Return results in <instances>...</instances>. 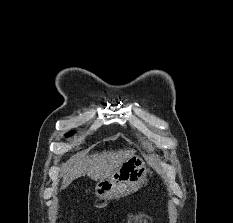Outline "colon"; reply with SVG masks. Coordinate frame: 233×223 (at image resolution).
Here are the masks:
<instances>
[{
	"instance_id": "obj_1",
	"label": "colon",
	"mask_w": 233,
	"mask_h": 223,
	"mask_svg": "<svg viewBox=\"0 0 233 223\" xmlns=\"http://www.w3.org/2000/svg\"><path fill=\"white\" fill-rule=\"evenodd\" d=\"M129 223H144V220L141 217L135 216L129 221Z\"/></svg>"
}]
</instances>
